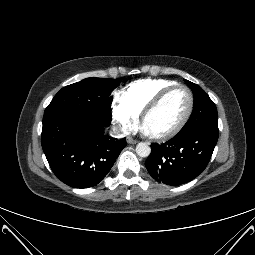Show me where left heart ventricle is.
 <instances>
[{
	"label": "left heart ventricle",
	"mask_w": 255,
	"mask_h": 255,
	"mask_svg": "<svg viewBox=\"0 0 255 255\" xmlns=\"http://www.w3.org/2000/svg\"><path fill=\"white\" fill-rule=\"evenodd\" d=\"M189 106L186 90L177 89L170 93L145 121L148 133L159 134L174 128L184 117Z\"/></svg>",
	"instance_id": "left-heart-ventricle-1"
}]
</instances>
